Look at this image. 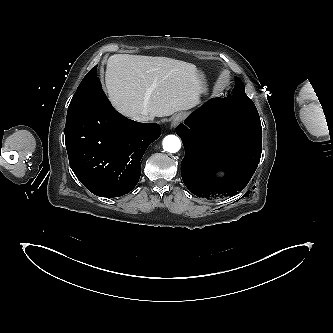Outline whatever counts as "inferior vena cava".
Listing matches in <instances>:
<instances>
[{"mask_svg":"<svg viewBox=\"0 0 333 333\" xmlns=\"http://www.w3.org/2000/svg\"><path fill=\"white\" fill-rule=\"evenodd\" d=\"M133 119L138 122H146L149 120V116L146 114H140V115L134 116Z\"/></svg>","mask_w":333,"mask_h":333,"instance_id":"inferior-vena-cava-1","label":"inferior vena cava"}]
</instances>
